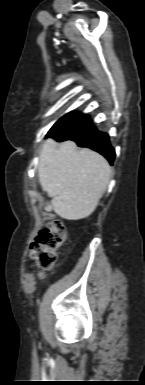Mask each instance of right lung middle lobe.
I'll use <instances>...</instances> for the list:
<instances>
[{
  "label": "right lung middle lobe",
  "mask_w": 145,
  "mask_h": 385,
  "mask_svg": "<svg viewBox=\"0 0 145 385\" xmlns=\"http://www.w3.org/2000/svg\"><path fill=\"white\" fill-rule=\"evenodd\" d=\"M83 114L77 113V112H69L63 117H61L49 130L48 137L57 135L58 133L68 129L71 127L75 122H77Z\"/></svg>",
  "instance_id": "dd1d6c3e"
}]
</instances>
